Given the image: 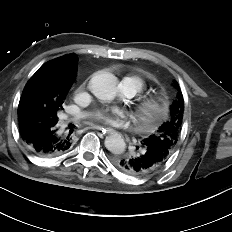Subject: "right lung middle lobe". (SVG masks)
<instances>
[{
	"label": "right lung middle lobe",
	"instance_id": "dd1d6c3e",
	"mask_svg": "<svg viewBox=\"0 0 232 232\" xmlns=\"http://www.w3.org/2000/svg\"><path fill=\"white\" fill-rule=\"evenodd\" d=\"M68 91L62 84L43 76L24 88L18 105L20 132L37 123L47 128L57 127V113L63 108Z\"/></svg>",
	"mask_w": 232,
	"mask_h": 232
}]
</instances>
